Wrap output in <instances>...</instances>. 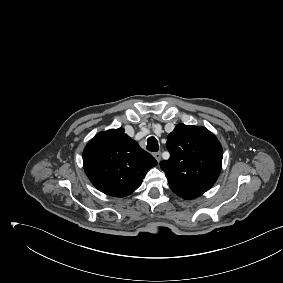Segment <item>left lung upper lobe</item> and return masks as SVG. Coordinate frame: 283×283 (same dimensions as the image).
I'll use <instances>...</instances> for the list:
<instances>
[{
    "label": "left lung upper lobe",
    "instance_id": "5c2ea615",
    "mask_svg": "<svg viewBox=\"0 0 283 283\" xmlns=\"http://www.w3.org/2000/svg\"><path fill=\"white\" fill-rule=\"evenodd\" d=\"M170 158L160 162L171 190L191 200L209 190L219 177L223 150L220 142L204 127L179 124L168 135Z\"/></svg>",
    "mask_w": 283,
    "mask_h": 283
}]
</instances>
